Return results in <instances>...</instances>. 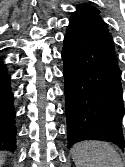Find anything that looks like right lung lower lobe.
Wrapping results in <instances>:
<instances>
[{"instance_id": "98d812e1", "label": "right lung lower lobe", "mask_w": 125, "mask_h": 167, "mask_svg": "<svg viewBox=\"0 0 125 167\" xmlns=\"http://www.w3.org/2000/svg\"><path fill=\"white\" fill-rule=\"evenodd\" d=\"M16 149L15 111L10 87V75L0 58V150Z\"/></svg>"}]
</instances>
